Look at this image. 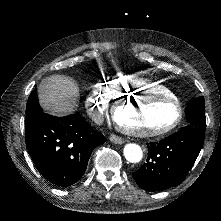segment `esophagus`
<instances>
[{"label": "esophagus", "mask_w": 221, "mask_h": 221, "mask_svg": "<svg viewBox=\"0 0 221 221\" xmlns=\"http://www.w3.org/2000/svg\"><path fill=\"white\" fill-rule=\"evenodd\" d=\"M109 140L115 144H123L125 142L124 139L114 134L110 135Z\"/></svg>", "instance_id": "1"}]
</instances>
